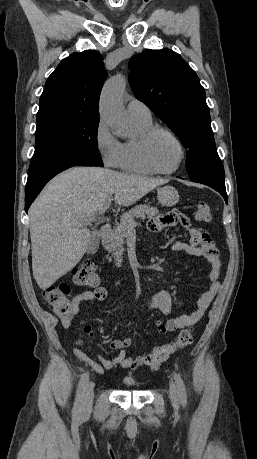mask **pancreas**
<instances>
[{
    "label": "pancreas",
    "instance_id": "cf45deb5",
    "mask_svg": "<svg viewBox=\"0 0 257 459\" xmlns=\"http://www.w3.org/2000/svg\"><path fill=\"white\" fill-rule=\"evenodd\" d=\"M159 213L158 209L149 205H137L136 207L124 213L121 216L120 223L108 232L103 239V246L106 251L112 254L114 257H120L123 254L125 243L124 239L127 236L131 222L135 218L145 219L146 217L151 219Z\"/></svg>",
    "mask_w": 257,
    "mask_h": 459
}]
</instances>
